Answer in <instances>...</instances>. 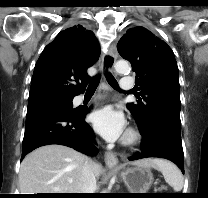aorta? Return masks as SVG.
<instances>
[{
	"label": "aorta",
	"instance_id": "obj_1",
	"mask_svg": "<svg viewBox=\"0 0 208 198\" xmlns=\"http://www.w3.org/2000/svg\"><path fill=\"white\" fill-rule=\"evenodd\" d=\"M115 69L118 73H126L130 70L129 63L125 60H119L115 64Z\"/></svg>",
	"mask_w": 208,
	"mask_h": 198
}]
</instances>
